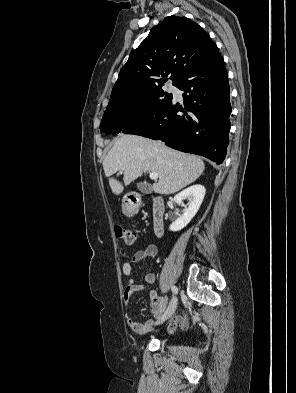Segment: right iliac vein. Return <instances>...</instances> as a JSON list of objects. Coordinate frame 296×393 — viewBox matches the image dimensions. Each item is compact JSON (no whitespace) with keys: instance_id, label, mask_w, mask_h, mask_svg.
Wrapping results in <instances>:
<instances>
[{"instance_id":"63e3f726","label":"right iliac vein","mask_w":296,"mask_h":393,"mask_svg":"<svg viewBox=\"0 0 296 393\" xmlns=\"http://www.w3.org/2000/svg\"><path fill=\"white\" fill-rule=\"evenodd\" d=\"M177 307V298H173L172 301L170 302L167 310L164 312V314L156 321V325L162 324L165 322L167 319H169L175 312Z\"/></svg>"}]
</instances>
